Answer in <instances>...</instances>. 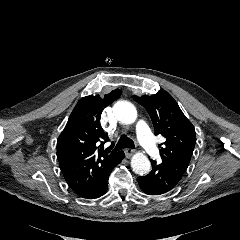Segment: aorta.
<instances>
[{
    "instance_id": "1",
    "label": "aorta",
    "mask_w": 240,
    "mask_h": 240,
    "mask_svg": "<svg viewBox=\"0 0 240 240\" xmlns=\"http://www.w3.org/2000/svg\"><path fill=\"white\" fill-rule=\"evenodd\" d=\"M113 113L117 120L124 124H132L137 118V111L134 105L127 101L115 103ZM131 167L136 174L145 175L150 172L151 163L146 155L136 153L131 159Z\"/></svg>"
}]
</instances>
